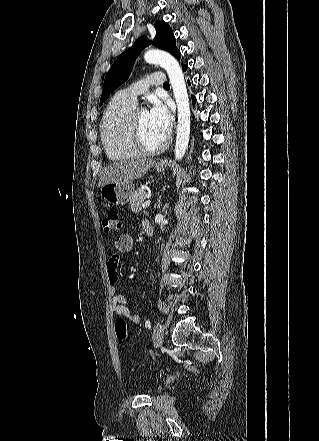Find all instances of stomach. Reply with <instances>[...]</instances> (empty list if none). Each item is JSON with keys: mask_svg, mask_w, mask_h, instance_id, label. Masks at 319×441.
Segmentation results:
<instances>
[{"mask_svg": "<svg viewBox=\"0 0 319 441\" xmlns=\"http://www.w3.org/2000/svg\"><path fill=\"white\" fill-rule=\"evenodd\" d=\"M157 172L162 173L165 167L155 166ZM135 186L132 182H110L104 184L100 189V196L112 206L124 205L132 200L135 194Z\"/></svg>", "mask_w": 319, "mask_h": 441, "instance_id": "1", "label": "stomach"}]
</instances>
